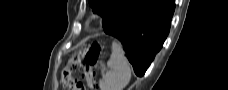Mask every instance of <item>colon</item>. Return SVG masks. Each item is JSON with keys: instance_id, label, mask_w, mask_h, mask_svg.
I'll use <instances>...</instances> for the list:
<instances>
[{"instance_id": "obj_1", "label": "colon", "mask_w": 228, "mask_h": 90, "mask_svg": "<svg viewBox=\"0 0 228 90\" xmlns=\"http://www.w3.org/2000/svg\"><path fill=\"white\" fill-rule=\"evenodd\" d=\"M100 45L97 42L91 43L88 47L73 55L62 70V82L67 90H85L83 83L72 77L74 67L83 68V77L86 79L89 89H94L93 70L98 64Z\"/></svg>"}]
</instances>
